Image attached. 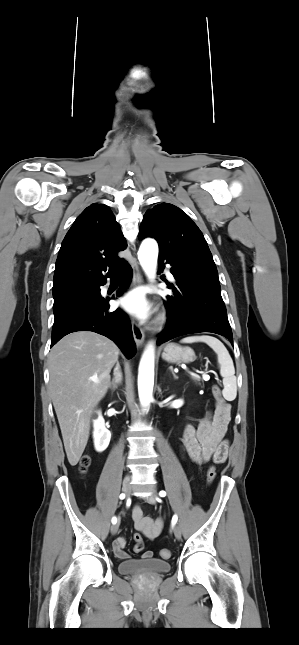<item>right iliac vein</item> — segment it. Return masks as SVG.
I'll use <instances>...</instances> for the list:
<instances>
[{"label":"right iliac vein","instance_id":"63e3f726","mask_svg":"<svg viewBox=\"0 0 299 645\" xmlns=\"http://www.w3.org/2000/svg\"><path fill=\"white\" fill-rule=\"evenodd\" d=\"M130 476H126L123 480V485H122V491L126 494L128 497L130 495L131 487H130ZM119 529V523H115L111 526V533L112 535H115L118 532Z\"/></svg>","mask_w":299,"mask_h":645}]
</instances>
